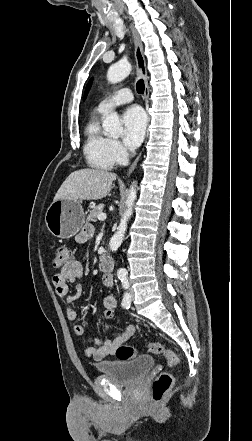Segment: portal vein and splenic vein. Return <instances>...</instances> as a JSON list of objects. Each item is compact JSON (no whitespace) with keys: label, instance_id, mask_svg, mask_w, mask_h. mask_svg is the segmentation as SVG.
<instances>
[{"label":"portal vein and splenic vein","instance_id":"portal-vein-and-splenic-vein-1","mask_svg":"<svg viewBox=\"0 0 252 441\" xmlns=\"http://www.w3.org/2000/svg\"><path fill=\"white\" fill-rule=\"evenodd\" d=\"M97 218L99 221H104L106 220L107 216L105 213H100Z\"/></svg>","mask_w":252,"mask_h":441}]
</instances>
